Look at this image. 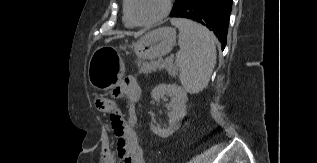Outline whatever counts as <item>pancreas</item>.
Instances as JSON below:
<instances>
[{
    "instance_id": "obj_1",
    "label": "pancreas",
    "mask_w": 317,
    "mask_h": 163,
    "mask_svg": "<svg viewBox=\"0 0 317 163\" xmlns=\"http://www.w3.org/2000/svg\"><path fill=\"white\" fill-rule=\"evenodd\" d=\"M138 67H140L141 73H150L151 71L161 70L163 68H166L168 71L172 70L171 63L167 60L165 62L163 61H150V62H142L138 64Z\"/></svg>"
}]
</instances>
